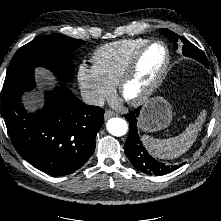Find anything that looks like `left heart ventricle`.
Listing matches in <instances>:
<instances>
[{
	"label": "left heart ventricle",
	"mask_w": 221,
	"mask_h": 221,
	"mask_svg": "<svg viewBox=\"0 0 221 221\" xmlns=\"http://www.w3.org/2000/svg\"><path fill=\"white\" fill-rule=\"evenodd\" d=\"M165 61L162 45L151 46L141 57L134 78L126 85L124 97L128 99L141 95L155 80Z\"/></svg>",
	"instance_id": "left-heart-ventricle-1"
}]
</instances>
